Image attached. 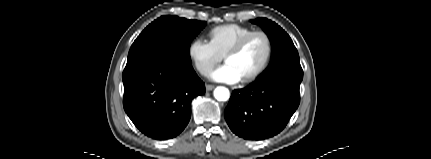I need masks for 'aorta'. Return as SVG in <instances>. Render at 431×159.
Segmentation results:
<instances>
[{
	"label": "aorta",
	"mask_w": 431,
	"mask_h": 159,
	"mask_svg": "<svg viewBox=\"0 0 431 159\" xmlns=\"http://www.w3.org/2000/svg\"><path fill=\"white\" fill-rule=\"evenodd\" d=\"M214 97L218 101H227L230 97L229 90L225 87L219 86L214 90Z\"/></svg>",
	"instance_id": "1"
}]
</instances>
